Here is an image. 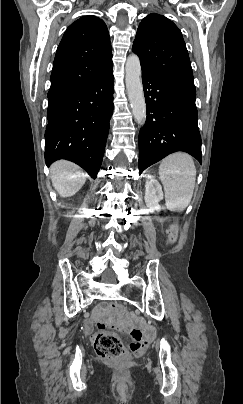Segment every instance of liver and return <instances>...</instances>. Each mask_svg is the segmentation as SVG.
I'll list each match as a JSON object with an SVG mask.
<instances>
[{
  "label": "liver",
  "instance_id": "liver-1",
  "mask_svg": "<svg viewBox=\"0 0 243 404\" xmlns=\"http://www.w3.org/2000/svg\"><path fill=\"white\" fill-rule=\"evenodd\" d=\"M50 174L51 182L62 198L74 196L84 186L87 178L81 168L66 160H59L52 164Z\"/></svg>",
  "mask_w": 243,
  "mask_h": 404
}]
</instances>
